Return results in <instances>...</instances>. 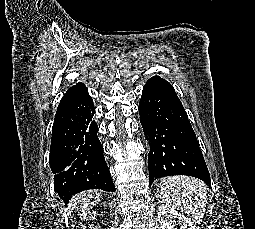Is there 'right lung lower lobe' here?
<instances>
[{"label":"right lung lower lobe","instance_id":"right-lung-lower-lobe-1","mask_svg":"<svg viewBox=\"0 0 255 229\" xmlns=\"http://www.w3.org/2000/svg\"><path fill=\"white\" fill-rule=\"evenodd\" d=\"M94 113L93 100L80 82L67 90L56 111L49 162L54 189L67 202L88 189L115 191Z\"/></svg>","mask_w":255,"mask_h":229}]
</instances>
